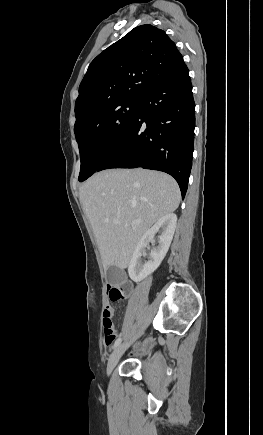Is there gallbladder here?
I'll return each instance as SVG.
<instances>
[{"label":"gallbladder","mask_w":263,"mask_h":435,"mask_svg":"<svg viewBox=\"0 0 263 435\" xmlns=\"http://www.w3.org/2000/svg\"><path fill=\"white\" fill-rule=\"evenodd\" d=\"M106 279L112 285H120L126 279L125 272L116 266H109L106 270Z\"/></svg>","instance_id":"1"}]
</instances>
